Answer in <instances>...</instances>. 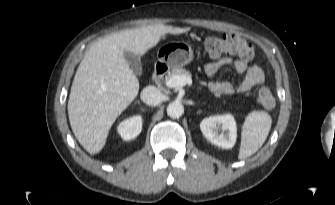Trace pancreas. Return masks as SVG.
I'll list each match as a JSON object with an SVG mask.
<instances>
[{"mask_svg":"<svg viewBox=\"0 0 335 205\" xmlns=\"http://www.w3.org/2000/svg\"><path fill=\"white\" fill-rule=\"evenodd\" d=\"M188 76L191 77V73L189 71H187L186 69L183 68H178V67H174L170 73H168V75L166 76V81L174 76Z\"/></svg>","mask_w":335,"mask_h":205,"instance_id":"pancreas-1","label":"pancreas"}]
</instances>
